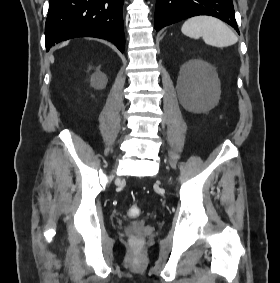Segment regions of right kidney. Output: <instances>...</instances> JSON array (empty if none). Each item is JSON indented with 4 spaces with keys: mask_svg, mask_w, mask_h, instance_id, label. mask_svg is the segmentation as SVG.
<instances>
[{
    "mask_svg": "<svg viewBox=\"0 0 280 283\" xmlns=\"http://www.w3.org/2000/svg\"><path fill=\"white\" fill-rule=\"evenodd\" d=\"M93 81L98 84H105L107 79L104 74H97L96 76H94Z\"/></svg>",
    "mask_w": 280,
    "mask_h": 283,
    "instance_id": "right-kidney-1",
    "label": "right kidney"
}]
</instances>
